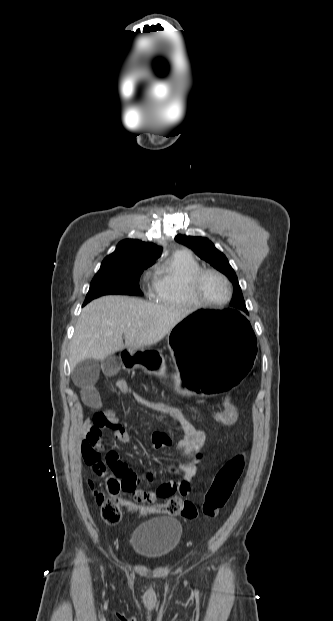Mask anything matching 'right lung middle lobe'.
I'll return each mask as SVG.
<instances>
[{
  "instance_id": "dd1d6c3e",
  "label": "right lung middle lobe",
  "mask_w": 333,
  "mask_h": 621,
  "mask_svg": "<svg viewBox=\"0 0 333 621\" xmlns=\"http://www.w3.org/2000/svg\"><path fill=\"white\" fill-rule=\"evenodd\" d=\"M150 266L142 263H102L91 282L83 305L102 295H143L139 287V277Z\"/></svg>"
}]
</instances>
